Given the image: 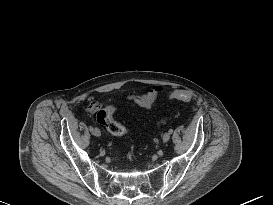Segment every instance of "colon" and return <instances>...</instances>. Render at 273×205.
Here are the masks:
<instances>
[{
  "label": "colon",
  "mask_w": 273,
  "mask_h": 205,
  "mask_svg": "<svg viewBox=\"0 0 273 205\" xmlns=\"http://www.w3.org/2000/svg\"><path fill=\"white\" fill-rule=\"evenodd\" d=\"M170 99L178 100L182 102H188L191 99V95L182 90H176L169 94ZM89 109L91 111H96L98 106L96 103L91 102L89 104ZM116 108L114 106H107L106 108L99 110L97 112V121L104 126L108 132L115 136H123L127 133V129L121 123L115 120Z\"/></svg>",
  "instance_id": "1"
}]
</instances>
